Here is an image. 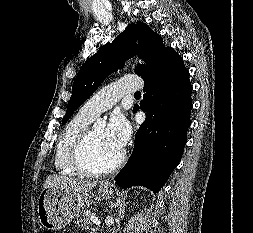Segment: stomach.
Here are the masks:
<instances>
[{"mask_svg": "<svg viewBox=\"0 0 253 233\" xmlns=\"http://www.w3.org/2000/svg\"><path fill=\"white\" fill-rule=\"evenodd\" d=\"M98 193L103 198H110V184L100 183ZM89 198L87 193L75 194L58 187L44 188L38 198L37 210L41 226L48 231L65 227L85 205L90 204Z\"/></svg>", "mask_w": 253, "mask_h": 233, "instance_id": "obj_1", "label": "stomach"}]
</instances>
